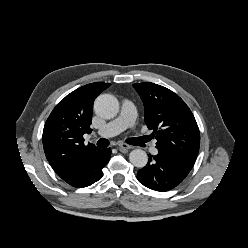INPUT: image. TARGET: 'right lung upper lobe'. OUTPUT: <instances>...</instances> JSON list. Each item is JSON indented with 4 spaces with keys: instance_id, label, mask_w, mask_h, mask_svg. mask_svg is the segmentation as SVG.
Wrapping results in <instances>:
<instances>
[{
    "instance_id": "obj_1",
    "label": "right lung upper lobe",
    "mask_w": 248,
    "mask_h": 248,
    "mask_svg": "<svg viewBox=\"0 0 248 248\" xmlns=\"http://www.w3.org/2000/svg\"><path fill=\"white\" fill-rule=\"evenodd\" d=\"M109 83H90L68 94L53 109L43 129V148L56 174L65 178L81 164L95 145L84 144L83 135L90 133L95 98Z\"/></svg>"
}]
</instances>
